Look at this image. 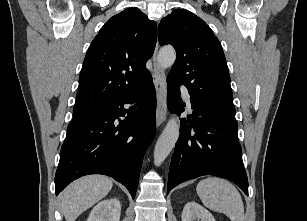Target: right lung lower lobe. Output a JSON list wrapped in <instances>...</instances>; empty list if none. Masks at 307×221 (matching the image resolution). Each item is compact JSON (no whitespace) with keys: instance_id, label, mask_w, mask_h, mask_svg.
I'll return each mask as SVG.
<instances>
[{"instance_id":"1","label":"right lung lower lobe","mask_w":307,"mask_h":221,"mask_svg":"<svg viewBox=\"0 0 307 221\" xmlns=\"http://www.w3.org/2000/svg\"><path fill=\"white\" fill-rule=\"evenodd\" d=\"M124 104H131L129 109ZM156 94L150 76L140 89L113 99L95 113L71 122L55 176L58 195L70 182L104 174L135 197L143 155L155 136ZM119 117H125L117 124Z\"/></svg>"}]
</instances>
